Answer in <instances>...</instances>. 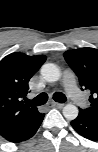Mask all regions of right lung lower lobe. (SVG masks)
<instances>
[{
	"label": "right lung lower lobe",
	"instance_id": "98d812e1",
	"mask_svg": "<svg viewBox=\"0 0 98 152\" xmlns=\"http://www.w3.org/2000/svg\"><path fill=\"white\" fill-rule=\"evenodd\" d=\"M45 114L37 113L18 129L2 136L9 142L19 143L31 138L41 125Z\"/></svg>",
	"mask_w": 98,
	"mask_h": 152
}]
</instances>
